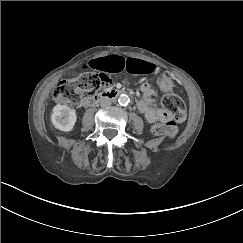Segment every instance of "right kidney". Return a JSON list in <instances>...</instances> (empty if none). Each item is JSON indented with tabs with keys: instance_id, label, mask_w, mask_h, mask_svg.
Returning a JSON list of instances; mask_svg holds the SVG:
<instances>
[{
	"instance_id": "ca27d5eb",
	"label": "right kidney",
	"mask_w": 243,
	"mask_h": 243,
	"mask_svg": "<svg viewBox=\"0 0 243 243\" xmlns=\"http://www.w3.org/2000/svg\"><path fill=\"white\" fill-rule=\"evenodd\" d=\"M76 120L75 109L60 104L54 106L51 121L55 128L61 131H71Z\"/></svg>"
}]
</instances>
